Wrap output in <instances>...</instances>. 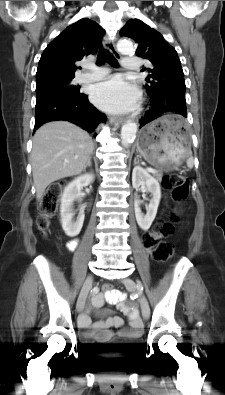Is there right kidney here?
<instances>
[{
	"instance_id": "obj_1",
	"label": "right kidney",
	"mask_w": 225,
	"mask_h": 395,
	"mask_svg": "<svg viewBox=\"0 0 225 395\" xmlns=\"http://www.w3.org/2000/svg\"><path fill=\"white\" fill-rule=\"evenodd\" d=\"M94 174L88 173L81 175L70 182L64 189L61 197L60 216L62 228L67 236H77L84 222V208L79 209L76 220H73L75 215L73 209V202L79 197L80 191L84 186H88L94 181Z\"/></svg>"
}]
</instances>
